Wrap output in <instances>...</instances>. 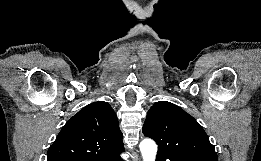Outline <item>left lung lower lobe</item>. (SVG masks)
I'll use <instances>...</instances> for the list:
<instances>
[{"label": "left lung lower lobe", "instance_id": "left-lung-lower-lobe-1", "mask_svg": "<svg viewBox=\"0 0 261 161\" xmlns=\"http://www.w3.org/2000/svg\"><path fill=\"white\" fill-rule=\"evenodd\" d=\"M166 159H169L170 161H196V160L186 159V158L179 157V156H174L171 154H166L163 152L157 153L156 161H165Z\"/></svg>", "mask_w": 261, "mask_h": 161}]
</instances>
